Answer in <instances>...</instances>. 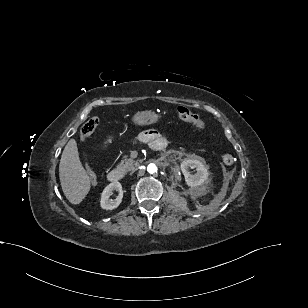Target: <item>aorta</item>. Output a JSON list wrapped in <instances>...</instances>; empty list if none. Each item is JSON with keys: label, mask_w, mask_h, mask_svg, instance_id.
<instances>
[{"label": "aorta", "mask_w": 308, "mask_h": 308, "mask_svg": "<svg viewBox=\"0 0 308 308\" xmlns=\"http://www.w3.org/2000/svg\"><path fill=\"white\" fill-rule=\"evenodd\" d=\"M147 171L151 174L155 173L157 171V167L155 164L151 163L147 166Z\"/></svg>", "instance_id": "aorta-1"}]
</instances>
